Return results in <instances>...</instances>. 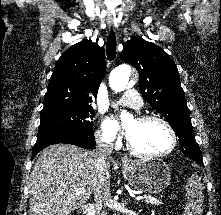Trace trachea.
<instances>
[{
    "label": "trachea",
    "mask_w": 221,
    "mask_h": 215,
    "mask_svg": "<svg viewBox=\"0 0 221 215\" xmlns=\"http://www.w3.org/2000/svg\"><path fill=\"white\" fill-rule=\"evenodd\" d=\"M106 53L109 61L115 59L116 56V36L111 32L107 37Z\"/></svg>",
    "instance_id": "3493384b"
}]
</instances>
